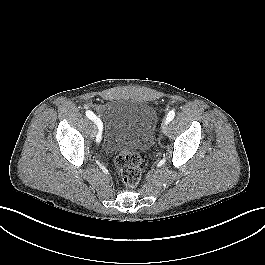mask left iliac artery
<instances>
[{
	"label": "left iliac artery",
	"mask_w": 265,
	"mask_h": 265,
	"mask_svg": "<svg viewBox=\"0 0 265 265\" xmlns=\"http://www.w3.org/2000/svg\"><path fill=\"white\" fill-rule=\"evenodd\" d=\"M175 116V111L174 110H171L168 115H167V118H166V121L167 122H170Z\"/></svg>",
	"instance_id": "left-iliac-artery-1"
}]
</instances>
